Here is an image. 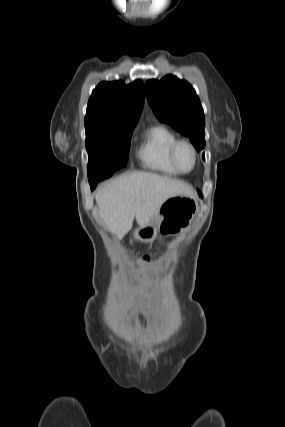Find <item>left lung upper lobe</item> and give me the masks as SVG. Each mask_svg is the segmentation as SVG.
<instances>
[{"label":"left lung upper lobe","mask_w":285,"mask_h":427,"mask_svg":"<svg viewBox=\"0 0 285 427\" xmlns=\"http://www.w3.org/2000/svg\"><path fill=\"white\" fill-rule=\"evenodd\" d=\"M148 102L161 122L188 136L199 151L205 147V116L199 97L185 80L167 75L145 85ZM204 159V155H203Z\"/></svg>","instance_id":"obj_1"}]
</instances>
